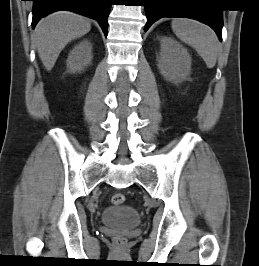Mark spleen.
<instances>
[{"label":"spleen","mask_w":259,"mask_h":266,"mask_svg":"<svg viewBox=\"0 0 259 266\" xmlns=\"http://www.w3.org/2000/svg\"><path fill=\"white\" fill-rule=\"evenodd\" d=\"M171 26L173 32L181 41L197 51L208 68L215 66L218 43L214 31L210 27L186 18L173 19Z\"/></svg>","instance_id":"obj_1"}]
</instances>
